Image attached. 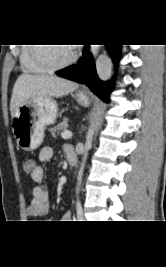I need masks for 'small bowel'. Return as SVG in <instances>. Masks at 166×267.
<instances>
[{"mask_svg": "<svg viewBox=\"0 0 166 267\" xmlns=\"http://www.w3.org/2000/svg\"><path fill=\"white\" fill-rule=\"evenodd\" d=\"M53 148L46 146L40 150L39 162L44 163L51 160L53 157ZM67 158L69 156H75V153L70 147H66ZM30 177L33 182L32 198L30 205L27 208L28 217H39L46 215L50 210V196L47 188L42 184L44 177V170L40 164H35L33 170L30 172ZM72 215L70 212H66L62 217V222H70Z\"/></svg>", "mask_w": 166, "mask_h": 267, "instance_id": "small-bowel-1", "label": "small bowel"}]
</instances>
